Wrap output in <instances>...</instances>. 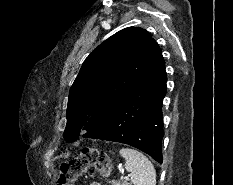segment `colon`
<instances>
[{"label":"colon","instance_id":"1","mask_svg":"<svg viewBox=\"0 0 233 185\" xmlns=\"http://www.w3.org/2000/svg\"><path fill=\"white\" fill-rule=\"evenodd\" d=\"M111 164L103 150L84 147L80 154L60 164L58 185H74L78 178L86 173H94L101 177L109 176Z\"/></svg>","mask_w":233,"mask_h":185}]
</instances>
